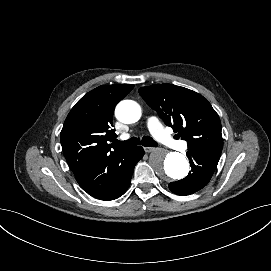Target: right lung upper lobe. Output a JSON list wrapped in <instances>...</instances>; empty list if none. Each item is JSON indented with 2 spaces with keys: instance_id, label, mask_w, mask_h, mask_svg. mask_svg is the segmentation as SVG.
<instances>
[{
  "instance_id": "cb5924a9",
  "label": "right lung upper lobe",
  "mask_w": 271,
  "mask_h": 271,
  "mask_svg": "<svg viewBox=\"0 0 271 271\" xmlns=\"http://www.w3.org/2000/svg\"><path fill=\"white\" fill-rule=\"evenodd\" d=\"M133 85H102L83 96L69 112L60 134L65 158L77 181L103 161L127 148L112 146L116 138L112 117L116 104Z\"/></svg>"
}]
</instances>
